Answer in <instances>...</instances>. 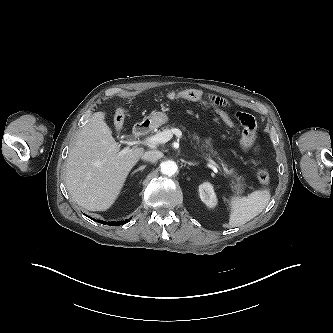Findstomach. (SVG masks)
Instances as JSON below:
<instances>
[{"instance_id":"stomach-1","label":"stomach","mask_w":333,"mask_h":333,"mask_svg":"<svg viewBox=\"0 0 333 333\" xmlns=\"http://www.w3.org/2000/svg\"><path fill=\"white\" fill-rule=\"evenodd\" d=\"M169 121V117L166 113L160 111L152 112L148 117L145 118V122L153 127L161 126Z\"/></svg>"}]
</instances>
